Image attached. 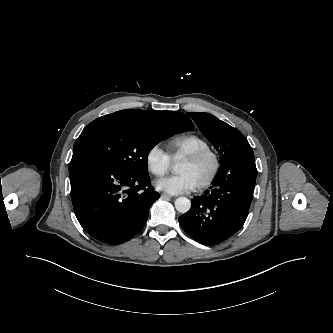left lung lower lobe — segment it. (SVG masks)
I'll return each instance as SVG.
<instances>
[{
    "mask_svg": "<svg viewBox=\"0 0 333 333\" xmlns=\"http://www.w3.org/2000/svg\"><path fill=\"white\" fill-rule=\"evenodd\" d=\"M257 169L251 146L224 160L210 190L192 199L179 217L184 231L204 245H216L234 235L244 224L253 198Z\"/></svg>",
    "mask_w": 333,
    "mask_h": 333,
    "instance_id": "left-lung-lower-lobe-1",
    "label": "left lung lower lobe"
}]
</instances>
